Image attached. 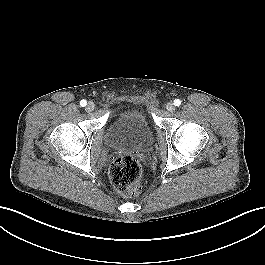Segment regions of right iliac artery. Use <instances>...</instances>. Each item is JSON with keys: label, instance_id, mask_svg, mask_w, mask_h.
<instances>
[{"label": "right iliac artery", "instance_id": "right-iliac-artery-1", "mask_svg": "<svg viewBox=\"0 0 265 265\" xmlns=\"http://www.w3.org/2000/svg\"><path fill=\"white\" fill-rule=\"evenodd\" d=\"M80 105L82 106V107H84V106H86L87 105V101L86 100H81L80 101Z\"/></svg>", "mask_w": 265, "mask_h": 265}]
</instances>
